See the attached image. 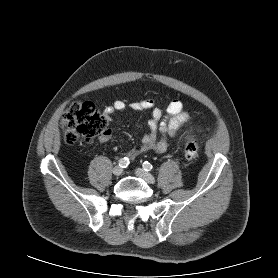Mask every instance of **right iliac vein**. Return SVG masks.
Instances as JSON below:
<instances>
[{
	"label": "right iliac vein",
	"instance_id": "1",
	"mask_svg": "<svg viewBox=\"0 0 278 278\" xmlns=\"http://www.w3.org/2000/svg\"><path fill=\"white\" fill-rule=\"evenodd\" d=\"M112 172H113V174H114L115 176H119V175L122 174L123 169H122L120 166H115V167L113 168Z\"/></svg>",
	"mask_w": 278,
	"mask_h": 278
}]
</instances>
